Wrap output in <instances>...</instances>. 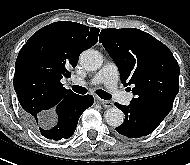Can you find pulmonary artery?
<instances>
[{
    "label": "pulmonary artery",
    "instance_id": "e3ab8cb5",
    "mask_svg": "<svg viewBox=\"0 0 190 165\" xmlns=\"http://www.w3.org/2000/svg\"><path fill=\"white\" fill-rule=\"evenodd\" d=\"M118 77L119 72L117 66L114 63L110 62L105 64L100 69V71L95 74L90 83L93 85L104 84L117 100L123 103H128L131 100L132 96L130 94L124 93L118 88ZM72 81L77 85L86 84L85 81L77 77L73 78Z\"/></svg>",
    "mask_w": 190,
    "mask_h": 165
}]
</instances>
